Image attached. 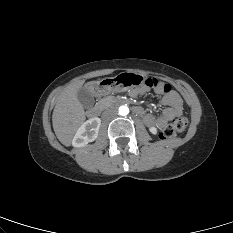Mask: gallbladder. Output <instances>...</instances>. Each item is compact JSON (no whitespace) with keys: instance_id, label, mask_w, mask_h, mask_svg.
I'll return each mask as SVG.
<instances>
[{"instance_id":"bac80fb5","label":"gallbladder","mask_w":233,"mask_h":233,"mask_svg":"<svg viewBox=\"0 0 233 233\" xmlns=\"http://www.w3.org/2000/svg\"><path fill=\"white\" fill-rule=\"evenodd\" d=\"M77 98L81 103V105L86 109L93 107L95 102L94 95L90 92V90L86 86H83L78 90Z\"/></svg>"}]
</instances>
